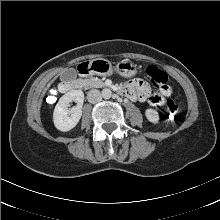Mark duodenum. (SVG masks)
Listing matches in <instances>:
<instances>
[{"label":"duodenum","mask_w":220,"mask_h":220,"mask_svg":"<svg viewBox=\"0 0 220 220\" xmlns=\"http://www.w3.org/2000/svg\"><path fill=\"white\" fill-rule=\"evenodd\" d=\"M88 71H89V68L87 66L79 68V73L81 74H86L88 73ZM74 88H75V84L71 81H65L60 85V90L64 93L70 92L74 90ZM119 94L127 97V92L123 89L119 90Z\"/></svg>","instance_id":"obj_1"}]
</instances>
